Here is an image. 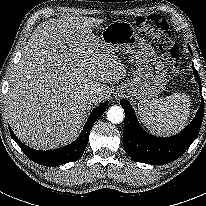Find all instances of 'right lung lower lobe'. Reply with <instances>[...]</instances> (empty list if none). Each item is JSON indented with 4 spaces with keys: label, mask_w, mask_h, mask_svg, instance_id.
I'll return each instance as SVG.
<instances>
[{
    "label": "right lung lower lobe",
    "mask_w": 206,
    "mask_h": 206,
    "mask_svg": "<svg viewBox=\"0 0 206 206\" xmlns=\"http://www.w3.org/2000/svg\"><path fill=\"white\" fill-rule=\"evenodd\" d=\"M108 108L107 103H103L100 106L96 107L90 114L83 131L80 136L71 144L48 151H40L32 149L26 145H24L13 133L10 129V134L14 141L19 145L22 151L34 162L45 165V166H57L64 163H68L79 158L84 152L88 140L89 133L95 121L99 118V116Z\"/></svg>",
    "instance_id": "right-lung-lower-lobe-1"
}]
</instances>
